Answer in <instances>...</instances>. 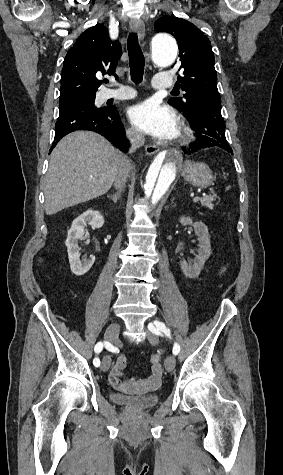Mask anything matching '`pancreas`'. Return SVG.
Wrapping results in <instances>:
<instances>
[{"mask_svg": "<svg viewBox=\"0 0 283 475\" xmlns=\"http://www.w3.org/2000/svg\"><path fill=\"white\" fill-rule=\"evenodd\" d=\"M215 198H217L216 194H213V196H204V198H200V204L201 206H206V208H210V210H213Z\"/></svg>", "mask_w": 283, "mask_h": 475, "instance_id": "obj_1", "label": "pancreas"}]
</instances>
